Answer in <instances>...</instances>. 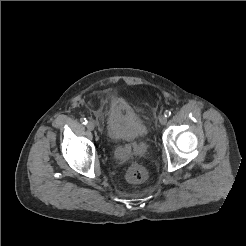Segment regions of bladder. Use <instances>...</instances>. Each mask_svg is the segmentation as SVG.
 Masks as SVG:
<instances>
[{"mask_svg":"<svg viewBox=\"0 0 246 246\" xmlns=\"http://www.w3.org/2000/svg\"><path fill=\"white\" fill-rule=\"evenodd\" d=\"M106 133L114 142H131L147 134L143 119L119 97H112L105 109ZM124 156H119L123 160Z\"/></svg>","mask_w":246,"mask_h":246,"instance_id":"31cf9c89","label":"bladder"}]
</instances>
